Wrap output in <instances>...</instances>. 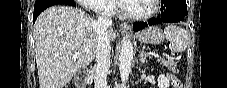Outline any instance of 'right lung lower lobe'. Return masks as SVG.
<instances>
[{"label":"right lung lower lobe","instance_id":"1","mask_svg":"<svg viewBox=\"0 0 227 88\" xmlns=\"http://www.w3.org/2000/svg\"><path fill=\"white\" fill-rule=\"evenodd\" d=\"M61 0H44L39 3H35L34 6V14H33V22L37 19L38 15L45 10L47 7L55 5V4H61Z\"/></svg>","mask_w":227,"mask_h":88}]
</instances>
